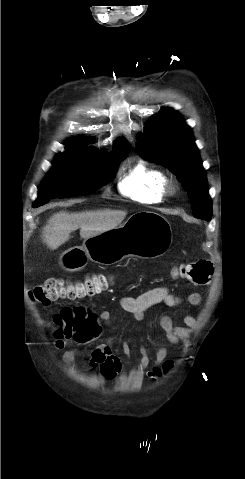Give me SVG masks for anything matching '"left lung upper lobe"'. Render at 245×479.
Here are the masks:
<instances>
[{
    "label": "left lung upper lobe",
    "mask_w": 245,
    "mask_h": 479,
    "mask_svg": "<svg viewBox=\"0 0 245 479\" xmlns=\"http://www.w3.org/2000/svg\"><path fill=\"white\" fill-rule=\"evenodd\" d=\"M136 151L168 167L188 192L194 216L211 219L212 202L199 151L190 127L175 111L165 108L151 117Z\"/></svg>",
    "instance_id": "left-lung-upper-lobe-1"
}]
</instances>
